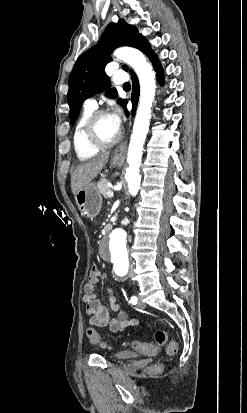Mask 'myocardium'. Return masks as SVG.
I'll return each instance as SVG.
<instances>
[{
	"mask_svg": "<svg viewBox=\"0 0 247 413\" xmlns=\"http://www.w3.org/2000/svg\"><path fill=\"white\" fill-rule=\"evenodd\" d=\"M103 114L104 112L101 110L94 112L89 117L88 123L84 130V139H85L86 144L98 150L110 149L114 147L120 140L119 135H117V137L111 141H103L98 137L97 132H96V125L98 121L100 120V118H102Z\"/></svg>",
	"mask_w": 247,
	"mask_h": 413,
	"instance_id": "f54148a6",
	"label": "myocardium"
}]
</instances>
